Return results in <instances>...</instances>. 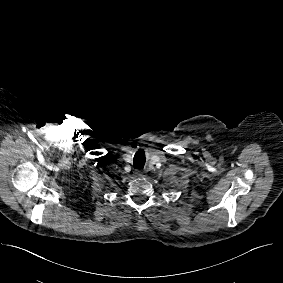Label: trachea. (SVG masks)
Masks as SVG:
<instances>
[{"mask_svg":"<svg viewBox=\"0 0 283 283\" xmlns=\"http://www.w3.org/2000/svg\"><path fill=\"white\" fill-rule=\"evenodd\" d=\"M145 164V157H144V153L142 152H137L134 156L133 159V165L136 168H143Z\"/></svg>","mask_w":283,"mask_h":283,"instance_id":"trachea-1","label":"trachea"}]
</instances>
